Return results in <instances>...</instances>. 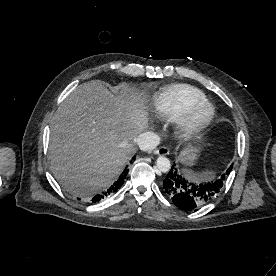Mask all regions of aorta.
<instances>
[{"label":"aorta","mask_w":276,"mask_h":276,"mask_svg":"<svg viewBox=\"0 0 276 276\" xmlns=\"http://www.w3.org/2000/svg\"><path fill=\"white\" fill-rule=\"evenodd\" d=\"M156 166L161 172L166 173L170 170L171 163L168 158L164 156H159L156 161Z\"/></svg>","instance_id":"1"}]
</instances>
